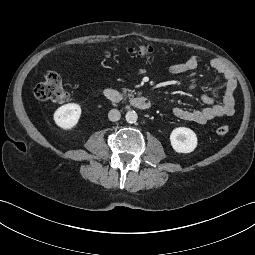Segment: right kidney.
<instances>
[{
    "label": "right kidney",
    "mask_w": 255,
    "mask_h": 255,
    "mask_svg": "<svg viewBox=\"0 0 255 255\" xmlns=\"http://www.w3.org/2000/svg\"><path fill=\"white\" fill-rule=\"evenodd\" d=\"M81 116V107L76 103H69L59 107L54 113L56 125L64 130L75 127Z\"/></svg>",
    "instance_id": "ca27d5eb"
}]
</instances>
